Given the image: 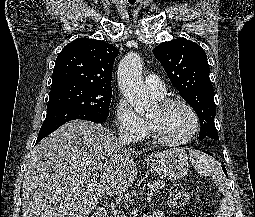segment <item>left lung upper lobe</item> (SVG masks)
Here are the masks:
<instances>
[{"label":"left lung upper lobe","mask_w":255,"mask_h":217,"mask_svg":"<svg viewBox=\"0 0 255 217\" xmlns=\"http://www.w3.org/2000/svg\"><path fill=\"white\" fill-rule=\"evenodd\" d=\"M168 78L200 120L199 139L219 140L214 123L216 107L209 78L207 56L202 47L184 38L163 42L153 49Z\"/></svg>","instance_id":"5c2ea615"}]
</instances>
